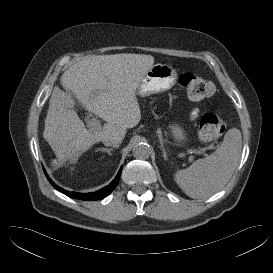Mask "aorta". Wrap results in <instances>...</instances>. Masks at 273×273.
<instances>
[{
	"instance_id": "1",
	"label": "aorta",
	"mask_w": 273,
	"mask_h": 273,
	"mask_svg": "<svg viewBox=\"0 0 273 273\" xmlns=\"http://www.w3.org/2000/svg\"><path fill=\"white\" fill-rule=\"evenodd\" d=\"M132 154L136 159H148L151 154V149L146 143H137L133 147Z\"/></svg>"
}]
</instances>
